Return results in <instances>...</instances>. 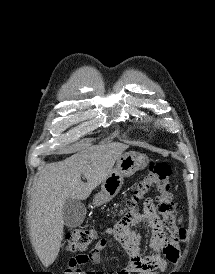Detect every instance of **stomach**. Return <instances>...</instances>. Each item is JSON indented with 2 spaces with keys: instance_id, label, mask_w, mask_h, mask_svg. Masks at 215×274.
Segmentation results:
<instances>
[{
  "instance_id": "stomach-1",
  "label": "stomach",
  "mask_w": 215,
  "mask_h": 274,
  "mask_svg": "<svg viewBox=\"0 0 215 274\" xmlns=\"http://www.w3.org/2000/svg\"><path fill=\"white\" fill-rule=\"evenodd\" d=\"M149 162L147 156L137 152H127L116 162L110 176L101 184L100 192L93 200L94 206H101L113 199L120 191L125 177L144 169Z\"/></svg>"
}]
</instances>
